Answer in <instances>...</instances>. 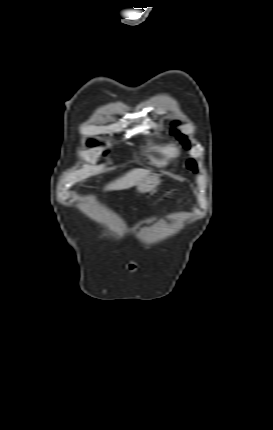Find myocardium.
<instances>
[{"mask_svg":"<svg viewBox=\"0 0 273 430\" xmlns=\"http://www.w3.org/2000/svg\"><path fill=\"white\" fill-rule=\"evenodd\" d=\"M172 152H173V154H175V153H176V150L174 149Z\"/></svg>","mask_w":273,"mask_h":430,"instance_id":"obj_1","label":"myocardium"}]
</instances>
